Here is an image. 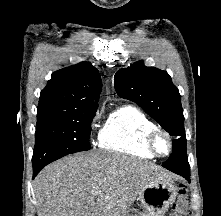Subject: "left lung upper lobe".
<instances>
[{
    "instance_id": "obj_1",
    "label": "left lung upper lobe",
    "mask_w": 221,
    "mask_h": 216,
    "mask_svg": "<svg viewBox=\"0 0 221 216\" xmlns=\"http://www.w3.org/2000/svg\"><path fill=\"white\" fill-rule=\"evenodd\" d=\"M117 94L137 103L171 136L172 153H186V135L181 96L166 71L144 66L143 61L119 70L114 76ZM172 154L162 165L173 167Z\"/></svg>"
}]
</instances>
